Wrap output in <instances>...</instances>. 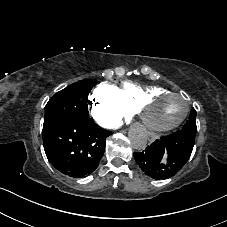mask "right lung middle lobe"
<instances>
[{
	"label": "right lung middle lobe",
	"instance_id": "dd1d6c3e",
	"mask_svg": "<svg viewBox=\"0 0 227 227\" xmlns=\"http://www.w3.org/2000/svg\"><path fill=\"white\" fill-rule=\"evenodd\" d=\"M94 85L81 80L57 92L45 106L43 131L65 120L89 117L88 94Z\"/></svg>",
	"mask_w": 227,
	"mask_h": 227
}]
</instances>
